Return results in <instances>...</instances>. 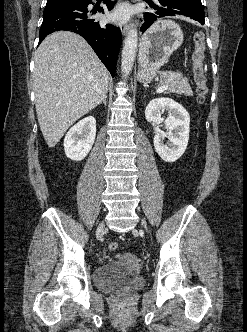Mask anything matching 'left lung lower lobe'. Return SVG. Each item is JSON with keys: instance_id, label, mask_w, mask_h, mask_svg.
<instances>
[{"instance_id": "1", "label": "left lung lower lobe", "mask_w": 247, "mask_h": 332, "mask_svg": "<svg viewBox=\"0 0 247 332\" xmlns=\"http://www.w3.org/2000/svg\"><path fill=\"white\" fill-rule=\"evenodd\" d=\"M149 11L143 15L144 24L141 30L144 32L157 19L165 16H183L205 24L204 9L201 0H145Z\"/></svg>"}]
</instances>
